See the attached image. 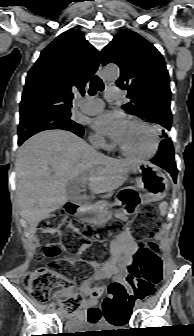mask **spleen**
Listing matches in <instances>:
<instances>
[{"mask_svg": "<svg viewBox=\"0 0 194 336\" xmlns=\"http://www.w3.org/2000/svg\"><path fill=\"white\" fill-rule=\"evenodd\" d=\"M159 209H160V213L161 215H165L167 213V209H168V204L167 202H162L160 205H159Z\"/></svg>", "mask_w": 194, "mask_h": 336, "instance_id": "3e777b00", "label": "spleen"}]
</instances>
